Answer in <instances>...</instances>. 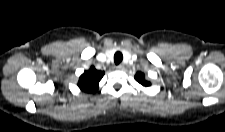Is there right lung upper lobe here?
I'll return each mask as SVG.
<instances>
[{"mask_svg": "<svg viewBox=\"0 0 225 132\" xmlns=\"http://www.w3.org/2000/svg\"><path fill=\"white\" fill-rule=\"evenodd\" d=\"M103 76L104 72L91 67L80 76L78 87L82 91L94 93L98 90V84Z\"/></svg>", "mask_w": 225, "mask_h": 132, "instance_id": "1", "label": "right lung upper lobe"}]
</instances>
